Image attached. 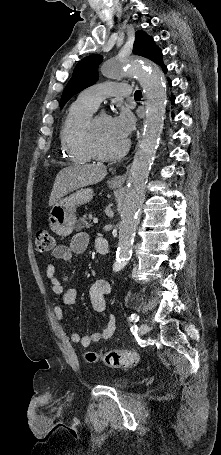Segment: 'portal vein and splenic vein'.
Masks as SVG:
<instances>
[{"instance_id":"1","label":"portal vein and splenic vein","mask_w":221,"mask_h":455,"mask_svg":"<svg viewBox=\"0 0 221 455\" xmlns=\"http://www.w3.org/2000/svg\"><path fill=\"white\" fill-rule=\"evenodd\" d=\"M93 222H94L95 224L98 223V218H96V217L93 218Z\"/></svg>"}]
</instances>
